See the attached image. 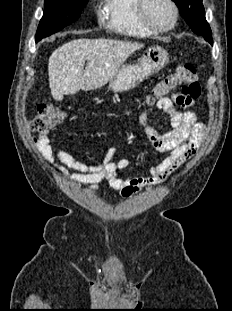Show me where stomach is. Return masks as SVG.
<instances>
[{"label":"stomach","mask_w":232,"mask_h":311,"mask_svg":"<svg viewBox=\"0 0 232 311\" xmlns=\"http://www.w3.org/2000/svg\"><path fill=\"white\" fill-rule=\"evenodd\" d=\"M169 62L168 52L160 46L148 48L133 65H123L109 81V89L123 92L132 89L145 78L163 69Z\"/></svg>","instance_id":"obj_1"}]
</instances>
